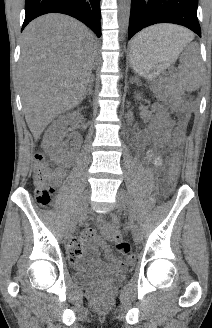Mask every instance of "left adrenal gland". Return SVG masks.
Listing matches in <instances>:
<instances>
[{
    "mask_svg": "<svg viewBox=\"0 0 212 328\" xmlns=\"http://www.w3.org/2000/svg\"><path fill=\"white\" fill-rule=\"evenodd\" d=\"M132 81L136 82V84L138 85V79L136 76L132 77Z\"/></svg>",
    "mask_w": 212,
    "mask_h": 328,
    "instance_id": "left-adrenal-gland-1",
    "label": "left adrenal gland"
}]
</instances>
